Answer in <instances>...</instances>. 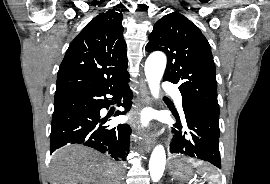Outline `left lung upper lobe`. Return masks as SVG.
Instances as JSON below:
<instances>
[{
    "mask_svg": "<svg viewBox=\"0 0 270 184\" xmlns=\"http://www.w3.org/2000/svg\"><path fill=\"white\" fill-rule=\"evenodd\" d=\"M146 50H159L167 55L163 80L179 84L183 104L219 117L211 48L191 21L178 12L165 15L155 23Z\"/></svg>",
    "mask_w": 270,
    "mask_h": 184,
    "instance_id": "obj_1",
    "label": "left lung upper lobe"
}]
</instances>
